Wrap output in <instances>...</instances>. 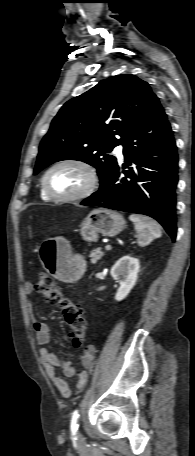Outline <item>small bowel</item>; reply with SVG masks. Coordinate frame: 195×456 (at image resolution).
Here are the masks:
<instances>
[{
	"label": "small bowel",
	"mask_w": 195,
	"mask_h": 456,
	"mask_svg": "<svg viewBox=\"0 0 195 456\" xmlns=\"http://www.w3.org/2000/svg\"><path fill=\"white\" fill-rule=\"evenodd\" d=\"M24 289L27 294H31L32 285L26 284ZM30 307H32L31 304ZM33 330L36 341L41 346L39 354L46 374L60 394L63 397H69L71 395V388L69 383L58 375L57 370H61L66 378L76 380L79 389L83 388L88 379L87 372L77 371L71 362L60 359L48 350L47 345L50 342L49 326L44 322L35 320ZM95 354L96 347L94 345H88L82 355V365L84 368H90L92 366Z\"/></svg>",
	"instance_id": "1"
}]
</instances>
